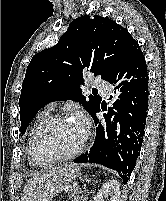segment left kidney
I'll list each match as a JSON object with an SVG mask.
<instances>
[{"instance_id": "5707ae66", "label": "left kidney", "mask_w": 166, "mask_h": 201, "mask_svg": "<svg viewBox=\"0 0 166 201\" xmlns=\"http://www.w3.org/2000/svg\"><path fill=\"white\" fill-rule=\"evenodd\" d=\"M120 184L117 180H109L98 191L94 201H105L110 196V201H120Z\"/></svg>"}]
</instances>
